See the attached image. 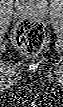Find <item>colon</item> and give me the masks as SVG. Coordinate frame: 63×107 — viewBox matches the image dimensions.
<instances>
[{
	"instance_id": "5ec220e1",
	"label": "colon",
	"mask_w": 63,
	"mask_h": 107,
	"mask_svg": "<svg viewBox=\"0 0 63 107\" xmlns=\"http://www.w3.org/2000/svg\"><path fill=\"white\" fill-rule=\"evenodd\" d=\"M14 45L27 55L38 53L47 40V29L38 20H24L13 31Z\"/></svg>"
}]
</instances>
